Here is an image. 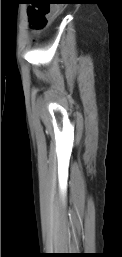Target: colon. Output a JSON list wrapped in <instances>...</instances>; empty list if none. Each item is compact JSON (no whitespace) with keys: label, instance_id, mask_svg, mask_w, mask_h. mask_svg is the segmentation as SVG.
I'll return each mask as SVG.
<instances>
[{"label":"colon","instance_id":"colon-1","mask_svg":"<svg viewBox=\"0 0 122 257\" xmlns=\"http://www.w3.org/2000/svg\"><path fill=\"white\" fill-rule=\"evenodd\" d=\"M51 14V5H36L29 9L28 15L31 27L35 30H41L46 27Z\"/></svg>","mask_w":122,"mask_h":257}]
</instances>
